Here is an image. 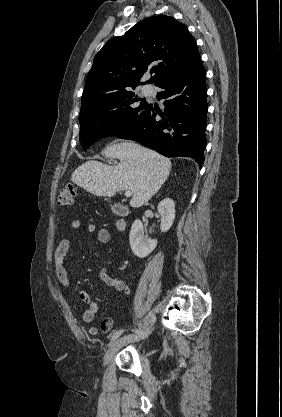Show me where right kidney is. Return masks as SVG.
<instances>
[{"label":"right kidney","instance_id":"obj_1","mask_svg":"<svg viewBox=\"0 0 282 417\" xmlns=\"http://www.w3.org/2000/svg\"><path fill=\"white\" fill-rule=\"evenodd\" d=\"M158 213L161 217V233H167L175 219V204L172 198L160 200ZM129 241L134 255L139 257V259L148 257L157 247L156 239H148L147 235H144V227L139 219H136L131 227Z\"/></svg>","mask_w":282,"mask_h":417}]
</instances>
